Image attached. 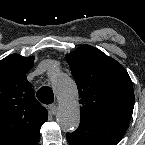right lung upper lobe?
<instances>
[{
	"label": "right lung upper lobe",
	"instance_id": "cb5924a9",
	"mask_svg": "<svg viewBox=\"0 0 145 145\" xmlns=\"http://www.w3.org/2000/svg\"><path fill=\"white\" fill-rule=\"evenodd\" d=\"M33 61L18 54L0 61V145H26L48 119L26 78Z\"/></svg>",
	"mask_w": 145,
	"mask_h": 145
}]
</instances>
